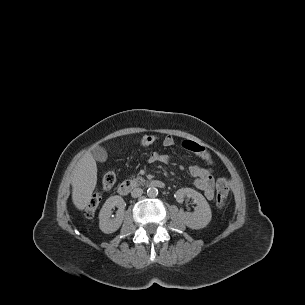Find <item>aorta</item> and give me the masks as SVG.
<instances>
[{"label":"aorta","mask_w":305,"mask_h":305,"mask_svg":"<svg viewBox=\"0 0 305 305\" xmlns=\"http://www.w3.org/2000/svg\"><path fill=\"white\" fill-rule=\"evenodd\" d=\"M158 195V189L154 186H150L148 189H147V196L150 197V198H154Z\"/></svg>","instance_id":"aorta-1"}]
</instances>
